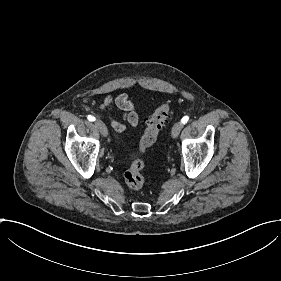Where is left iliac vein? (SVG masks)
Wrapping results in <instances>:
<instances>
[{"instance_id": "obj_1", "label": "left iliac vein", "mask_w": 281, "mask_h": 281, "mask_svg": "<svg viewBox=\"0 0 281 281\" xmlns=\"http://www.w3.org/2000/svg\"><path fill=\"white\" fill-rule=\"evenodd\" d=\"M183 123L182 122H176L173 127L171 128V133L174 138H177L179 136L180 131L183 129Z\"/></svg>"}]
</instances>
